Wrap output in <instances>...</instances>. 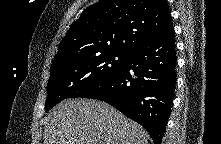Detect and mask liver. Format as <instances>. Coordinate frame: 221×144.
Returning <instances> with one entry per match:
<instances>
[{"instance_id": "liver-1", "label": "liver", "mask_w": 221, "mask_h": 144, "mask_svg": "<svg viewBox=\"0 0 221 144\" xmlns=\"http://www.w3.org/2000/svg\"><path fill=\"white\" fill-rule=\"evenodd\" d=\"M148 133L107 103L67 99L52 111L44 144H148Z\"/></svg>"}]
</instances>
